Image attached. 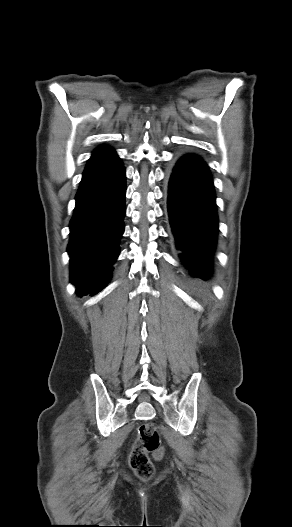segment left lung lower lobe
Listing matches in <instances>:
<instances>
[{
    "mask_svg": "<svg viewBox=\"0 0 292 527\" xmlns=\"http://www.w3.org/2000/svg\"><path fill=\"white\" fill-rule=\"evenodd\" d=\"M168 212L183 263L193 275L206 277L218 219L213 181L200 157L188 154L177 161L170 175Z\"/></svg>",
    "mask_w": 292,
    "mask_h": 527,
    "instance_id": "left-lung-lower-lobe-1",
    "label": "left lung lower lobe"
}]
</instances>
